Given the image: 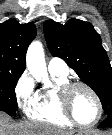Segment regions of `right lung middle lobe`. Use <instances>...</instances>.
Here are the masks:
<instances>
[{
  "mask_svg": "<svg viewBox=\"0 0 112 135\" xmlns=\"http://www.w3.org/2000/svg\"><path fill=\"white\" fill-rule=\"evenodd\" d=\"M22 73H0V110L16 116L15 86Z\"/></svg>",
  "mask_w": 112,
  "mask_h": 135,
  "instance_id": "obj_1",
  "label": "right lung middle lobe"
}]
</instances>
